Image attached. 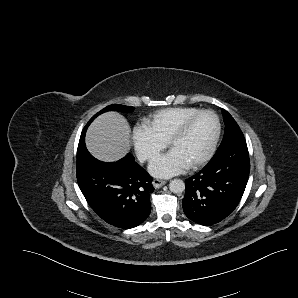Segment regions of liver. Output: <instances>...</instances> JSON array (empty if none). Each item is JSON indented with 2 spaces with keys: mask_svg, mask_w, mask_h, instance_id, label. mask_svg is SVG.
I'll return each instance as SVG.
<instances>
[{
  "mask_svg": "<svg viewBox=\"0 0 298 298\" xmlns=\"http://www.w3.org/2000/svg\"><path fill=\"white\" fill-rule=\"evenodd\" d=\"M130 127L117 112L98 116L86 133V146L97 159L113 162L123 158L130 149Z\"/></svg>",
  "mask_w": 298,
  "mask_h": 298,
  "instance_id": "liver-1",
  "label": "liver"
}]
</instances>
